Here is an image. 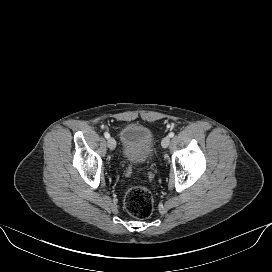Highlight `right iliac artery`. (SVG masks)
Returning a JSON list of instances; mask_svg holds the SVG:
<instances>
[{"instance_id":"1","label":"right iliac artery","mask_w":272,"mask_h":272,"mask_svg":"<svg viewBox=\"0 0 272 272\" xmlns=\"http://www.w3.org/2000/svg\"><path fill=\"white\" fill-rule=\"evenodd\" d=\"M104 136H105L106 139H109V138H110V134H109L108 132H105V133H104Z\"/></svg>"}]
</instances>
